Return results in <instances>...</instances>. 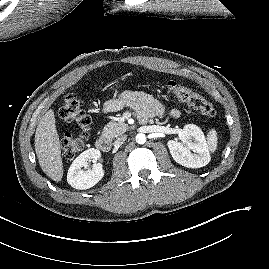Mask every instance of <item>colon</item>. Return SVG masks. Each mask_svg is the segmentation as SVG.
<instances>
[{"mask_svg":"<svg viewBox=\"0 0 269 269\" xmlns=\"http://www.w3.org/2000/svg\"><path fill=\"white\" fill-rule=\"evenodd\" d=\"M168 91L178 99L198 110L206 117L216 114L214 106L198 92L182 86L174 81L166 84ZM59 116L68 123H74L81 129L78 137L65 135L61 142L62 152L66 159L75 158L85 147L91 125V117L82 107L79 99L74 94H68L59 108Z\"/></svg>","mask_w":269,"mask_h":269,"instance_id":"5ec220e1","label":"colon"}]
</instances>
